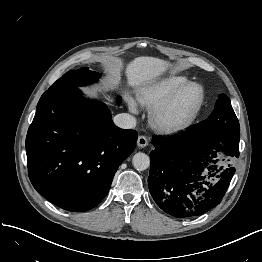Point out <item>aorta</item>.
Segmentation results:
<instances>
[{"label": "aorta", "mask_w": 262, "mask_h": 262, "mask_svg": "<svg viewBox=\"0 0 262 262\" xmlns=\"http://www.w3.org/2000/svg\"><path fill=\"white\" fill-rule=\"evenodd\" d=\"M133 166L138 171L146 170L150 165V158L147 154L138 152L132 158Z\"/></svg>", "instance_id": "1"}]
</instances>
